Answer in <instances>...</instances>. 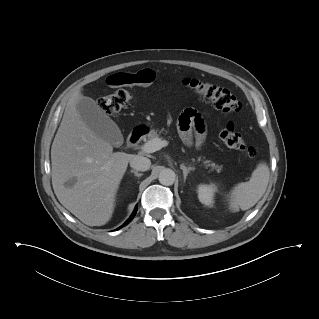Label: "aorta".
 <instances>
[{
    "instance_id": "1",
    "label": "aorta",
    "mask_w": 319,
    "mask_h": 319,
    "mask_svg": "<svg viewBox=\"0 0 319 319\" xmlns=\"http://www.w3.org/2000/svg\"><path fill=\"white\" fill-rule=\"evenodd\" d=\"M176 174L172 169H163L159 174V182L162 185L170 186L173 185L175 181Z\"/></svg>"
}]
</instances>
